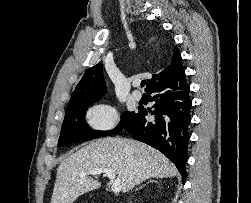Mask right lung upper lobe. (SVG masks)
<instances>
[{
    "mask_svg": "<svg viewBox=\"0 0 251 203\" xmlns=\"http://www.w3.org/2000/svg\"><path fill=\"white\" fill-rule=\"evenodd\" d=\"M182 65V58L179 50L175 48L170 64L161 72L154 74L152 79L147 81L146 91L153 85L159 83L176 68ZM105 92V81L103 76V65L98 63L88 69L83 75L81 81L72 93L69 104L92 101L101 98Z\"/></svg>",
    "mask_w": 251,
    "mask_h": 203,
    "instance_id": "obj_1",
    "label": "right lung upper lobe"
}]
</instances>
